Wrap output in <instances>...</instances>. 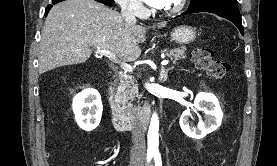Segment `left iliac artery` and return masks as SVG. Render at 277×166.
<instances>
[{"mask_svg": "<svg viewBox=\"0 0 277 166\" xmlns=\"http://www.w3.org/2000/svg\"><path fill=\"white\" fill-rule=\"evenodd\" d=\"M153 156H154L155 166H162L160 153L156 152Z\"/></svg>", "mask_w": 277, "mask_h": 166, "instance_id": "44dca946", "label": "left iliac artery"}]
</instances>
